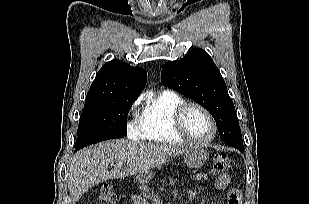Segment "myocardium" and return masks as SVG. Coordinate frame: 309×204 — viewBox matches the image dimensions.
<instances>
[{
  "label": "myocardium",
  "mask_w": 309,
  "mask_h": 204,
  "mask_svg": "<svg viewBox=\"0 0 309 204\" xmlns=\"http://www.w3.org/2000/svg\"><path fill=\"white\" fill-rule=\"evenodd\" d=\"M190 108H197L200 111L204 113V115L208 118L211 127H212V133L211 136L206 140H198L194 138L186 129L184 124V116L188 109ZM172 125L175 130V132L183 138L185 141L198 145V146H206L209 145L211 142L214 141L216 135H217V124L213 117V115L210 113V111L204 107L203 105L197 103V102H184L182 103L173 113L172 117Z\"/></svg>",
  "instance_id": "myocardium-1"
}]
</instances>
